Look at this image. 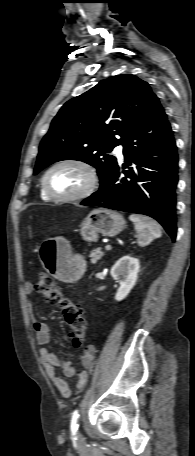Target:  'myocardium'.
Segmentation results:
<instances>
[{
    "label": "myocardium",
    "instance_id": "1",
    "mask_svg": "<svg viewBox=\"0 0 195 456\" xmlns=\"http://www.w3.org/2000/svg\"><path fill=\"white\" fill-rule=\"evenodd\" d=\"M63 165H76L86 171V173L88 175V183L82 191H80L76 194H73V195L61 196V195L54 194L50 190V188L48 186V182H47L49 174L55 168L63 166ZM98 182H99L98 173L93 165H91L89 162L82 160V159L68 158V159H63V160L56 162L55 164H53L46 170V172L44 173L42 180H41V186H42V189H43L45 195L49 199L58 201V202H72V201H80V200H83V199L89 197L96 190V188L98 186Z\"/></svg>",
    "mask_w": 195,
    "mask_h": 456
}]
</instances>
